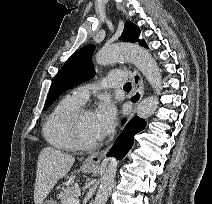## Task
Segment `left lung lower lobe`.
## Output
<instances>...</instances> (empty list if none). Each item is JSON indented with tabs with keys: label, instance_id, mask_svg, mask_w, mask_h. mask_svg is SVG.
<instances>
[{
	"label": "left lung lower lobe",
	"instance_id": "left-lung-lower-lobe-1",
	"mask_svg": "<svg viewBox=\"0 0 212 204\" xmlns=\"http://www.w3.org/2000/svg\"><path fill=\"white\" fill-rule=\"evenodd\" d=\"M139 99V95L137 94L132 101H137ZM126 120L124 119L122 124H124ZM145 128V120L139 117L132 118L125 126L123 132L118 137L113 147L111 148L108 156H115L118 159L122 158L132 147L134 135L138 132L142 131Z\"/></svg>",
	"mask_w": 212,
	"mask_h": 204
}]
</instances>
